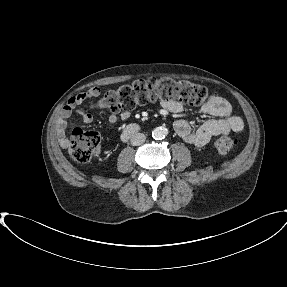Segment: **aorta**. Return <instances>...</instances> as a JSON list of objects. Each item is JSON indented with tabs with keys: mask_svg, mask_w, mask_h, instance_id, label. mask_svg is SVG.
<instances>
[{
	"mask_svg": "<svg viewBox=\"0 0 287 287\" xmlns=\"http://www.w3.org/2000/svg\"><path fill=\"white\" fill-rule=\"evenodd\" d=\"M168 134L167 128L164 127H156L152 131V137L156 140H161L165 138V136Z\"/></svg>",
	"mask_w": 287,
	"mask_h": 287,
	"instance_id": "aorta-1",
	"label": "aorta"
}]
</instances>
